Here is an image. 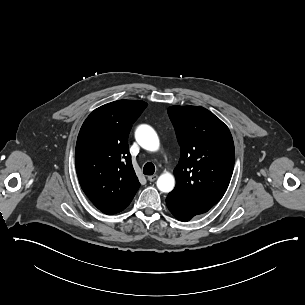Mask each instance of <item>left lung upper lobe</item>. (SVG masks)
I'll return each mask as SVG.
<instances>
[{"label":"left lung upper lobe","instance_id":"obj_1","mask_svg":"<svg viewBox=\"0 0 305 305\" xmlns=\"http://www.w3.org/2000/svg\"><path fill=\"white\" fill-rule=\"evenodd\" d=\"M169 117L181 148L171 194L181 202L210 209L221 200L231 180L235 150L228 127L199 106H171Z\"/></svg>","mask_w":305,"mask_h":305}]
</instances>
